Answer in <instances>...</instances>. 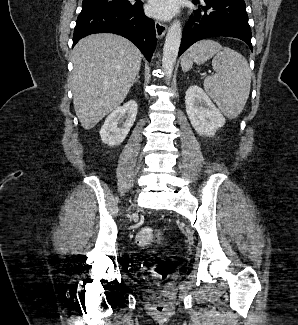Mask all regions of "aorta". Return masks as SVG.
<instances>
[{
  "mask_svg": "<svg viewBox=\"0 0 298 325\" xmlns=\"http://www.w3.org/2000/svg\"><path fill=\"white\" fill-rule=\"evenodd\" d=\"M182 40L181 20L171 22L165 36V42L162 52V70L164 72L165 82H169L173 76L176 58L178 56Z\"/></svg>",
  "mask_w": 298,
  "mask_h": 325,
  "instance_id": "obj_1",
  "label": "aorta"
}]
</instances>
